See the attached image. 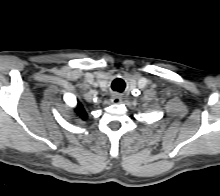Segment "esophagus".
Wrapping results in <instances>:
<instances>
[{"label": "esophagus", "instance_id": "obj_1", "mask_svg": "<svg viewBox=\"0 0 220 196\" xmlns=\"http://www.w3.org/2000/svg\"><path fill=\"white\" fill-rule=\"evenodd\" d=\"M111 101L114 103V104H120L121 101H122V96L118 93H113L111 95Z\"/></svg>", "mask_w": 220, "mask_h": 196}]
</instances>
